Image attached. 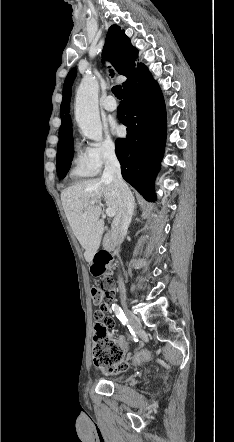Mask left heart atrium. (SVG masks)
<instances>
[{"instance_id":"1","label":"left heart atrium","mask_w":234,"mask_h":442,"mask_svg":"<svg viewBox=\"0 0 234 442\" xmlns=\"http://www.w3.org/2000/svg\"><path fill=\"white\" fill-rule=\"evenodd\" d=\"M111 130L116 135H120L122 132L121 127L117 125L115 122H111Z\"/></svg>"}]
</instances>
